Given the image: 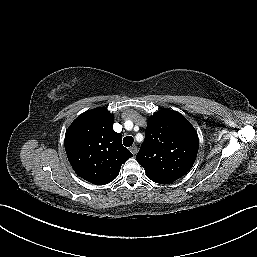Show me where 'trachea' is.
<instances>
[{"instance_id": "obj_1", "label": "trachea", "mask_w": 257, "mask_h": 257, "mask_svg": "<svg viewBox=\"0 0 257 257\" xmlns=\"http://www.w3.org/2000/svg\"><path fill=\"white\" fill-rule=\"evenodd\" d=\"M133 142H134V139H133V137H131V136H127V137H125V138L123 139V144H124V146H126V147H130V146L133 144Z\"/></svg>"}]
</instances>
